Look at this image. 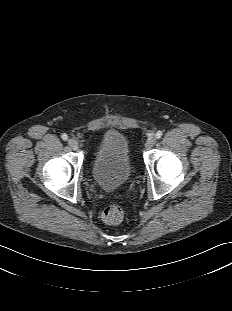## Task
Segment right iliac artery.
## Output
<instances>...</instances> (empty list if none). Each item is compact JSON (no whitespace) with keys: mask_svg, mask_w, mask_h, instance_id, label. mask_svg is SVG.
Masks as SVG:
<instances>
[{"mask_svg":"<svg viewBox=\"0 0 232 311\" xmlns=\"http://www.w3.org/2000/svg\"><path fill=\"white\" fill-rule=\"evenodd\" d=\"M61 138L66 141L68 139V136H67V134L64 133V134H62Z\"/></svg>","mask_w":232,"mask_h":311,"instance_id":"obj_1","label":"right iliac artery"}]
</instances>
